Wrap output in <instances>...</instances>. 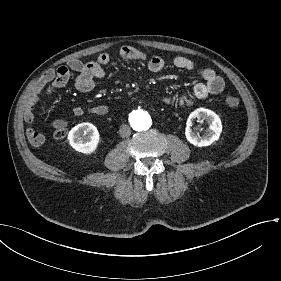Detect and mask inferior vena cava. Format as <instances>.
<instances>
[{
	"label": "inferior vena cava",
	"instance_id": "602c4592",
	"mask_svg": "<svg viewBox=\"0 0 281 281\" xmlns=\"http://www.w3.org/2000/svg\"><path fill=\"white\" fill-rule=\"evenodd\" d=\"M130 133H131V129H130V127L128 125L123 124V125L120 126V128H119V135L121 137L126 138V137H128L130 135Z\"/></svg>",
	"mask_w": 281,
	"mask_h": 281
}]
</instances>
